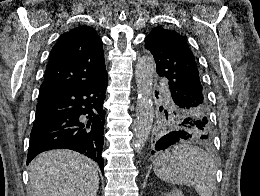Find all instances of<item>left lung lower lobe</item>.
I'll use <instances>...</instances> for the list:
<instances>
[{
  "label": "left lung lower lobe",
  "instance_id": "obj_1",
  "mask_svg": "<svg viewBox=\"0 0 260 196\" xmlns=\"http://www.w3.org/2000/svg\"><path fill=\"white\" fill-rule=\"evenodd\" d=\"M188 138L185 131H173L163 136L155 145V151L165 150L169 146Z\"/></svg>",
  "mask_w": 260,
  "mask_h": 196
}]
</instances>
